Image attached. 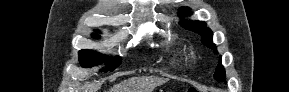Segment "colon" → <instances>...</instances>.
<instances>
[{"instance_id":"obj_1","label":"colon","mask_w":289,"mask_h":92,"mask_svg":"<svg viewBox=\"0 0 289 92\" xmlns=\"http://www.w3.org/2000/svg\"><path fill=\"white\" fill-rule=\"evenodd\" d=\"M187 92H198V91H197V89H195V88H189V89L187 90Z\"/></svg>"}]
</instances>
